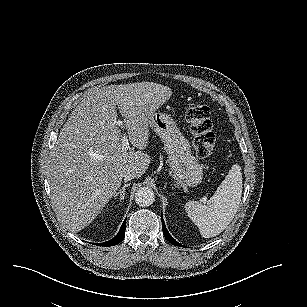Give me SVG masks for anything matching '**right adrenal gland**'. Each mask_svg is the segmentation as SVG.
Masks as SVG:
<instances>
[{
	"label": "right adrenal gland",
	"instance_id": "1",
	"mask_svg": "<svg viewBox=\"0 0 307 307\" xmlns=\"http://www.w3.org/2000/svg\"><path fill=\"white\" fill-rule=\"evenodd\" d=\"M130 184H124V186L122 187V189L119 190V192H117L113 197L114 199H117L118 196L120 197L119 200L120 202L124 200L125 198V193H126V187H129Z\"/></svg>",
	"mask_w": 307,
	"mask_h": 307
}]
</instances>
